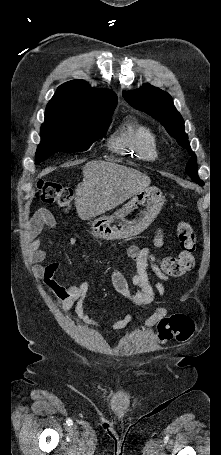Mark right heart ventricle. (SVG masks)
<instances>
[{
  "mask_svg": "<svg viewBox=\"0 0 221 455\" xmlns=\"http://www.w3.org/2000/svg\"><path fill=\"white\" fill-rule=\"evenodd\" d=\"M109 148L119 154H133L142 160H153L158 155V138L147 124L126 121L110 138Z\"/></svg>",
  "mask_w": 221,
  "mask_h": 455,
  "instance_id": "right-heart-ventricle-1",
  "label": "right heart ventricle"
}]
</instances>
